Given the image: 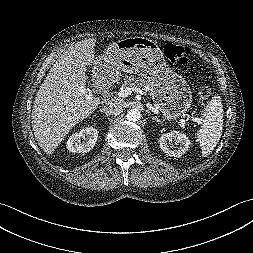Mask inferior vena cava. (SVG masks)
<instances>
[{
    "label": "inferior vena cava",
    "mask_w": 253,
    "mask_h": 253,
    "mask_svg": "<svg viewBox=\"0 0 253 253\" xmlns=\"http://www.w3.org/2000/svg\"><path fill=\"white\" fill-rule=\"evenodd\" d=\"M122 109V103L121 101L118 100H110L108 102L105 103V105L102 108V111L106 114V115H116L120 112V110Z\"/></svg>",
    "instance_id": "inferior-vena-cava-1"
}]
</instances>
